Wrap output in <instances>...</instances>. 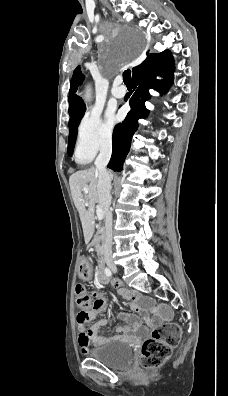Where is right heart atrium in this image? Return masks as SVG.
<instances>
[{"instance_id": "d8ad5b80", "label": "right heart atrium", "mask_w": 228, "mask_h": 396, "mask_svg": "<svg viewBox=\"0 0 228 396\" xmlns=\"http://www.w3.org/2000/svg\"><path fill=\"white\" fill-rule=\"evenodd\" d=\"M112 144V131L103 121L99 112L88 110L84 113L77 127L76 157L88 161L100 151Z\"/></svg>"}]
</instances>
